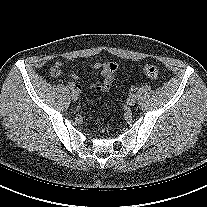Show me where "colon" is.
<instances>
[{"mask_svg": "<svg viewBox=\"0 0 207 207\" xmlns=\"http://www.w3.org/2000/svg\"><path fill=\"white\" fill-rule=\"evenodd\" d=\"M141 70L143 73L151 79H156L159 76V70L156 66L151 64H143L141 65Z\"/></svg>", "mask_w": 207, "mask_h": 207, "instance_id": "1", "label": "colon"}]
</instances>
